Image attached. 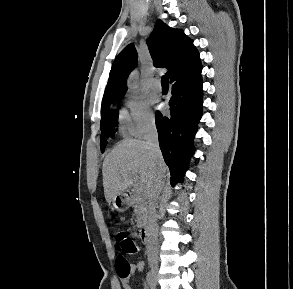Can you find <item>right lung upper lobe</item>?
Instances as JSON below:
<instances>
[{
  "label": "right lung upper lobe",
  "instance_id": "right-lung-upper-lobe-1",
  "mask_svg": "<svg viewBox=\"0 0 293 289\" xmlns=\"http://www.w3.org/2000/svg\"><path fill=\"white\" fill-rule=\"evenodd\" d=\"M147 45L156 67H165L171 83L189 81L201 73L199 52L182 30L173 29L158 20L147 39ZM137 65V51L133 44L127 45L113 62L103 102L124 96L127 76Z\"/></svg>",
  "mask_w": 293,
  "mask_h": 289
}]
</instances>
